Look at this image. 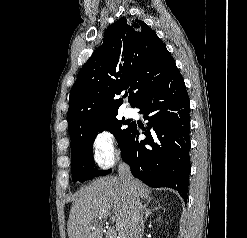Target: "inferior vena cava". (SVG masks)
Masks as SVG:
<instances>
[{"mask_svg":"<svg viewBox=\"0 0 247 238\" xmlns=\"http://www.w3.org/2000/svg\"><path fill=\"white\" fill-rule=\"evenodd\" d=\"M118 173L119 179L126 188L130 198V222L128 237L141 238L144 229L142 204L136 192L135 181L131 175L130 167L126 163L120 162L118 167Z\"/></svg>","mask_w":247,"mask_h":238,"instance_id":"obj_1","label":"inferior vena cava"}]
</instances>
